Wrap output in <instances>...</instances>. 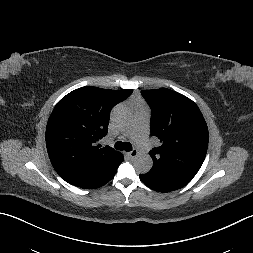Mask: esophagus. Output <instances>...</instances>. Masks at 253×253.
Masks as SVG:
<instances>
[{
    "mask_svg": "<svg viewBox=\"0 0 253 253\" xmlns=\"http://www.w3.org/2000/svg\"><path fill=\"white\" fill-rule=\"evenodd\" d=\"M128 155L131 157V158H134L138 155V150L137 149H133L131 152L128 153Z\"/></svg>",
    "mask_w": 253,
    "mask_h": 253,
    "instance_id": "obj_1",
    "label": "esophagus"
}]
</instances>
